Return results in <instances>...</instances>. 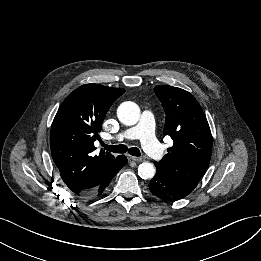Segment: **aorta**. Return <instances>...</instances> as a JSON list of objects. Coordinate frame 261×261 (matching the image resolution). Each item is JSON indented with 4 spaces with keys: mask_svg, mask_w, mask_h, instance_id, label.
I'll return each mask as SVG.
<instances>
[{
    "mask_svg": "<svg viewBox=\"0 0 261 261\" xmlns=\"http://www.w3.org/2000/svg\"><path fill=\"white\" fill-rule=\"evenodd\" d=\"M117 116L121 123L128 126L135 125L140 117V108L134 102H123L117 109ZM155 172L154 165L149 162H143L138 167V174L142 179L153 178Z\"/></svg>",
    "mask_w": 261,
    "mask_h": 261,
    "instance_id": "762f6f07",
    "label": "aorta"
}]
</instances>
